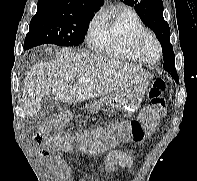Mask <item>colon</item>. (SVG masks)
Wrapping results in <instances>:
<instances>
[{"label":"colon","instance_id":"obj_1","mask_svg":"<svg viewBox=\"0 0 197 181\" xmlns=\"http://www.w3.org/2000/svg\"><path fill=\"white\" fill-rule=\"evenodd\" d=\"M166 89L167 84L163 79H156L152 83L148 90L149 106L140 113L137 119L114 124L105 129H97L91 136L86 132H80L76 136L62 135L58 130L71 118L69 112H63L46 122L35 134V138L39 140L43 137L47 138L48 146L52 149L71 150L76 144L82 150L95 152L106 150L125 136H132L134 140L140 141L155 129L159 119L164 116Z\"/></svg>","mask_w":197,"mask_h":181}]
</instances>
